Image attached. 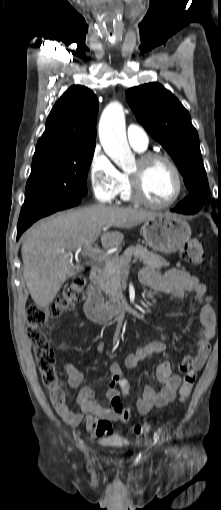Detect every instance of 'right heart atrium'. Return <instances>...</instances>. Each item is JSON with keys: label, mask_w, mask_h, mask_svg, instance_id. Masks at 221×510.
Instances as JSON below:
<instances>
[{"label": "right heart atrium", "mask_w": 221, "mask_h": 510, "mask_svg": "<svg viewBox=\"0 0 221 510\" xmlns=\"http://www.w3.org/2000/svg\"><path fill=\"white\" fill-rule=\"evenodd\" d=\"M89 178L94 196L101 203H111L120 192L121 172L99 147L91 156Z\"/></svg>", "instance_id": "right-heart-atrium-1"}]
</instances>
